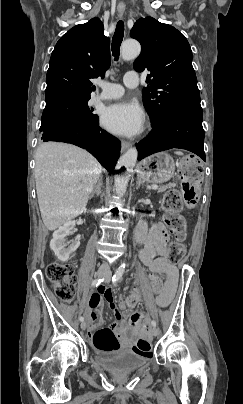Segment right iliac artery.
<instances>
[{"label":"right iliac artery","instance_id":"right-iliac-artery-1","mask_svg":"<svg viewBox=\"0 0 243 404\" xmlns=\"http://www.w3.org/2000/svg\"><path fill=\"white\" fill-rule=\"evenodd\" d=\"M103 281H104V279H99V278H98V279L93 280L91 285H92V287H97V286H99ZM79 319H80L81 322L84 321V317H82V316H80Z\"/></svg>","mask_w":243,"mask_h":404}]
</instances>
